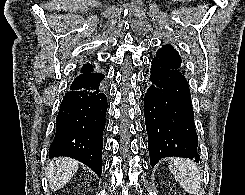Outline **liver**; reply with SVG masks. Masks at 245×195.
<instances>
[{
  "label": "liver",
  "instance_id": "liver-1",
  "mask_svg": "<svg viewBox=\"0 0 245 195\" xmlns=\"http://www.w3.org/2000/svg\"><path fill=\"white\" fill-rule=\"evenodd\" d=\"M78 170V162L69 157H59L50 161L47 178L51 190L62 188Z\"/></svg>",
  "mask_w": 245,
  "mask_h": 195
}]
</instances>
